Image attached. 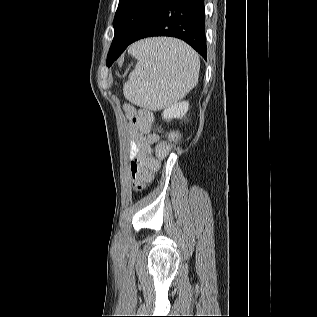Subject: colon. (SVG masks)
I'll return each mask as SVG.
<instances>
[{
	"instance_id": "colon-1",
	"label": "colon",
	"mask_w": 317,
	"mask_h": 317,
	"mask_svg": "<svg viewBox=\"0 0 317 317\" xmlns=\"http://www.w3.org/2000/svg\"><path fill=\"white\" fill-rule=\"evenodd\" d=\"M154 116L151 111L141 109L136 111L132 122L134 126L143 133L149 132ZM177 139V135L171 136V141H161L156 147L155 157L148 154H141L135 158L130 165V173L134 187L142 189L152 177L153 172L158 166L159 160L165 158L172 148V143Z\"/></svg>"
}]
</instances>
